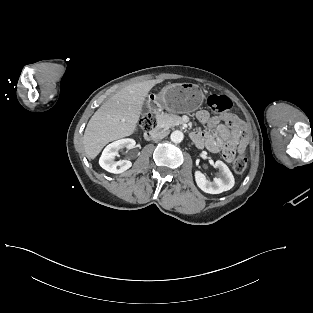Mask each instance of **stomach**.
I'll use <instances>...</instances> for the list:
<instances>
[{
  "instance_id": "obj_1",
  "label": "stomach",
  "mask_w": 313,
  "mask_h": 313,
  "mask_svg": "<svg viewBox=\"0 0 313 313\" xmlns=\"http://www.w3.org/2000/svg\"><path fill=\"white\" fill-rule=\"evenodd\" d=\"M204 101V94L198 86L190 83L172 84L164 87L150 99L157 109L171 113H189L197 110Z\"/></svg>"
}]
</instances>
